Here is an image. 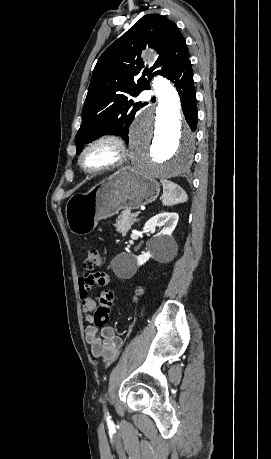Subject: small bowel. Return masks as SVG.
<instances>
[{
    "mask_svg": "<svg viewBox=\"0 0 271 459\" xmlns=\"http://www.w3.org/2000/svg\"><path fill=\"white\" fill-rule=\"evenodd\" d=\"M108 283L109 277L103 271L86 272L78 280L82 308L85 313V319L89 323L85 329L86 341L92 356L107 363L117 358L122 348L123 340L116 335L112 327H98L94 324L91 313L96 308V302L91 298L90 290L94 286H105Z\"/></svg>",
    "mask_w": 271,
    "mask_h": 459,
    "instance_id": "obj_1",
    "label": "small bowel"
}]
</instances>
